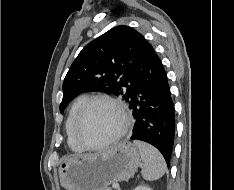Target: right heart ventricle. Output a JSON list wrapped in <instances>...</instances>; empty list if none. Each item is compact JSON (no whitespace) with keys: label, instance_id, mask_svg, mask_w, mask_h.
<instances>
[{"label":"right heart ventricle","instance_id":"1","mask_svg":"<svg viewBox=\"0 0 234 190\" xmlns=\"http://www.w3.org/2000/svg\"><path fill=\"white\" fill-rule=\"evenodd\" d=\"M86 99L87 98L84 96L80 97L72 104L65 123L67 143L75 152H82L84 150L83 147L75 140L73 129L77 113Z\"/></svg>","mask_w":234,"mask_h":190}]
</instances>
